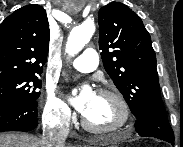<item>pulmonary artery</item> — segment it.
<instances>
[{
  "label": "pulmonary artery",
  "mask_w": 183,
  "mask_h": 147,
  "mask_svg": "<svg viewBox=\"0 0 183 147\" xmlns=\"http://www.w3.org/2000/svg\"><path fill=\"white\" fill-rule=\"evenodd\" d=\"M99 57L93 48H87L71 62V65L82 73H89L97 68Z\"/></svg>",
  "instance_id": "e3ab8cb5"
}]
</instances>
